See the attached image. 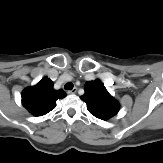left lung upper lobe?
I'll use <instances>...</instances> for the list:
<instances>
[{
    "mask_svg": "<svg viewBox=\"0 0 163 163\" xmlns=\"http://www.w3.org/2000/svg\"><path fill=\"white\" fill-rule=\"evenodd\" d=\"M81 100L87 104L88 111L95 117L107 120L119 111V103L108 93L100 80L88 81Z\"/></svg>",
    "mask_w": 163,
    "mask_h": 163,
    "instance_id": "obj_1",
    "label": "left lung upper lobe"
}]
</instances>
